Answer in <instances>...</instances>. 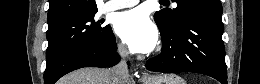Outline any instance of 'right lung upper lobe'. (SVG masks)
Wrapping results in <instances>:
<instances>
[{
	"instance_id": "obj_1",
	"label": "right lung upper lobe",
	"mask_w": 260,
	"mask_h": 84,
	"mask_svg": "<svg viewBox=\"0 0 260 84\" xmlns=\"http://www.w3.org/2000/svg\"><path fill=\"white\" fill-rule=\"evenodd\" d=\"M48 27L52 28L76 17L97 12L95 0H49Z\"/></svg>"
}]
</instances>
